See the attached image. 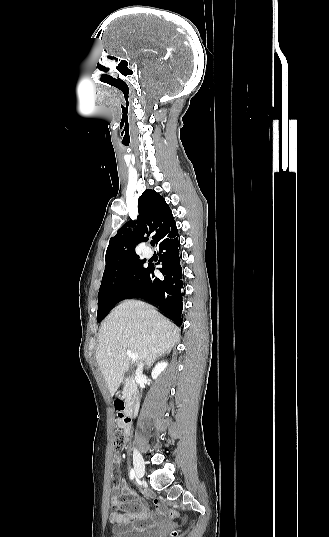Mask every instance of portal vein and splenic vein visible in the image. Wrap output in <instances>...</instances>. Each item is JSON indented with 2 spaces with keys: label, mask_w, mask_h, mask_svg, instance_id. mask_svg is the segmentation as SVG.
Here are the masks:
<instances>
[{
  "label": "portal vein and splenic vein",
  "mask_w": 329,
  "mask_h": 537,
  "mask_svg": "<svg viewBox=\"0 0 329 537\" xmlns=\"http://www.w3.org/2000/svg\"><path fill=\"white\" fill-rule=\"evenodd\" d=\"M127 355L129 356L130 359L132 360H136L138 358V355L135 354V353H132V351L130 349H127Z\"/></svg>",
  "instance_id": "18ae733b"
}]
</instances>
